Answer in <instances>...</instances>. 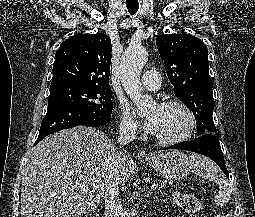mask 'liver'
Returning <instances> with one entry per match:
<instances>
[{"instance_id": "liver-1", "label": "liver", "mask_w": 255, "mask_h": 217, "mask_svg": "<svg viewBox=\"0 0 255 217\" xmlns=\"http://www.w3.org/2000/svg\"><path fill=\"white\" fill-rule=\"evenodd\" d=\"M113 143L102 131L77 126L32 148L21 186L22 217H77L102 201ZM119 153L118 183L130 177L132 160Z\"/></svg>"}]
</instances>
